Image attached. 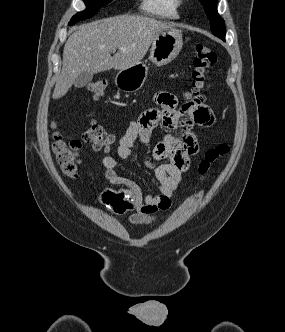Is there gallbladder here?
I'll use <instances>...</instances> for the list:
<instances>
[{
  "instance_id": "1",
  "label": "gallbladder",
  "mask_w": 285,
  "mask_h": 332,
  "mask_svg": "<svg viewBox=\"0 0 285 332\" xmlns=\"http://www.w3.org/2000/svg\"><path fill=\"white\" fill-rule=\"evenodd\" d=\"M93 78V73L83 72L81 73L74 82L76 88H83L86 86Z\"/></svg>"
}]
</instances>
